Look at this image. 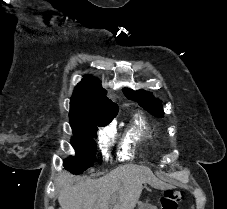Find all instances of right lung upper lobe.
Masks as SVG:
<instances>
[{"mask_svg": "<svg viewBox=\"0 0 227 209\" xmlns=\"http://www.w3.org/2000/svg\"><path fill=\"white\" fill-rule=\"evenodd\" d=\"M106 93L98 79L84 76L71 97L70 120L90 116L113 119L118 107L106 97Z\"/></svg>", "mask_w": 227, "mask_h": 209, "instance_id": "cb5924a9", "label": "right lung upper lobe"}]
</instances>
